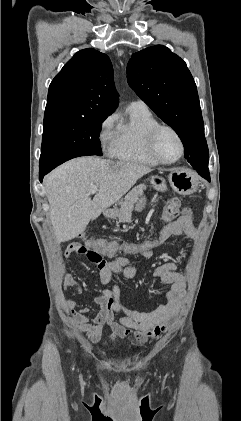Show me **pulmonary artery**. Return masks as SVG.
<instances>
[{"label": "pulmonary artery", "mask_w": 241, "mask_h": 421, "mask_svg": "<svg viewBox=\"0 0 241 421\" xmlns=\"http://www.w3.org/2000/svg\"><path fill=\"white\" fill-rule=\"evenodd\" d=\"M130 106L145 107V108H147V105L143 101H141V100L132 101L131 104H130Z\"/></svg>", "instance_id": "1"}]
</instances>
